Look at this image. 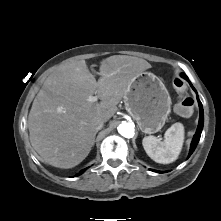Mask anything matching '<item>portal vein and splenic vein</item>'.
Masks as SVG:
<instances>
[{
  "label": "portal vein and splenic vein",
  "mask_w": 221,
  "mask_h": 221,
  "mask_svg": "<svg viewBox=\"0 0 221 221\" xmlns=\"http://www.w3.org/2000/svg\"><path fill=\"white\" fill-rule=\"evenodd\" d=\"M89 102L93 103V102H97L98 101V96H91L88 99Z\"/></svg>",
  "instance_id": "18ae733b"
}]
</instances>
